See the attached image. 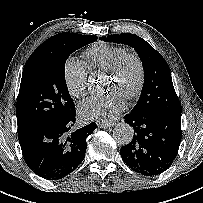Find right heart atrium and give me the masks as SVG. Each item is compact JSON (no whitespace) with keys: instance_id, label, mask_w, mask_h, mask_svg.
Listing matches in <instances>:
<instances>
[{"instance_id":"1","label":"right heart atrium","mask_w":203,"mask_h":203,"mask_svg":"<svg viewBox=\"0 0 203 203\" xmlns=\"http://www.w3.org/2000/svg\"><path fill=\"white\" fill-rule=\"evenodd\" d=\"M64 83L73 97L84 96L87 92V69L76 58H68L64 65Z\"/></svg>"}]
</instances>
